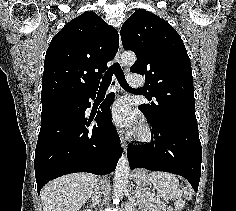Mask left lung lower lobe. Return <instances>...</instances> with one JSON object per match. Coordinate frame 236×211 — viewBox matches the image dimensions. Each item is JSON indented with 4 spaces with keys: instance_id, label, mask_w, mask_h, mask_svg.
I'll use <instances>...</instances> for the list:
<instances>
[{
    "instance_id": "obj_1",
    "label": "left lung lower lobe",
    "mask_w": 236,
    "mask_h": 211,
    "mask_svg": "<svg viewBox=\"0 0 236 211\" xmlns=\"http://www.w3.org/2000/svg\"><path fill=\"white\" fill-rule=\"evenodd\" d=\"M147 120L154 128V140L148 146H128L130 168H145L181 175L197 192L202 159L197 124L162 119Z\"/></svg>"
}]
</instances>
